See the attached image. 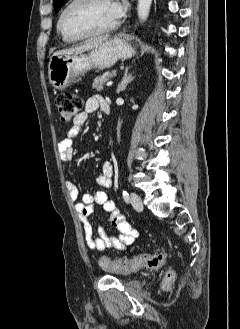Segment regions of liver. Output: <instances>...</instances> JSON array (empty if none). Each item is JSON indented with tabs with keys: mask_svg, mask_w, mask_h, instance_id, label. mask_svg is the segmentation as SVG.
<instances>
[{
	"mask_svg": "<svg viewBox=\"0 0 240 329\" xmlns=\"http://www.w3.org/2000/svg\"><path fill=\"white\" fill-rule=\"evenodd\" d=\"M108 40V37H96L86 40L83 44L71 47L68 49H62L59 51H56L53 55H70L73 53H83L85 51H89L99 45L101 42Z\"/></svg>",
	"mask_w": 240,
	"mask_h": 329,
	"instance_id": "obj_1",
	"label": "liver"
}]
</instances>
